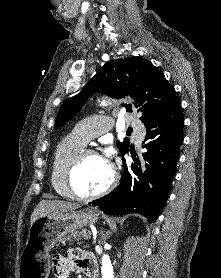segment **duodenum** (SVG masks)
I'll list each match as a JSON object with an SVG mask.
<instances>
[{
    "label": "duodenum",
    "mask_w": 221,
    "mask_h": 278,
    "mask_svg": "<svg viewBox=\"0 0 221 278\" xmlns=\"http://www.w3.org/2000/svg\"><path fill=\"white\" fill-rule=\"evenodd\" d=\"M85 273L90 278L97 277V265L96 263H91L90 266L85 270Z\"/></svg>",
    "instance_id": "410a0bca"
}]
</instances>
